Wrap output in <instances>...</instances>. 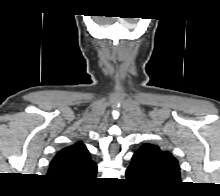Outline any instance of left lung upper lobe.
<instances>
[{
    "label": "left lung upper lobe",
    "mask_w": 220,
    "mask_h": 196,
    "mask_svg": "<svg viewBox=\"0 0 220 196\" xmlns=\"http://www.w3.org/2000/svg\"><path fill=\"white\" fill-rule=\"evenodd\" d=\"M150 183L158 189H167L180 183L177 159L168 151L154 144H143L133 155Z\"/></svg>",
    "instance_id": "left-lung-upper-lobe-1"
}]
</instances>
